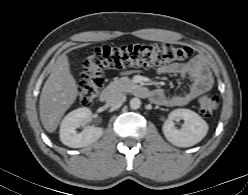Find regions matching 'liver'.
Instances as JSON below:
<instances>
[{
	"label": "liver",
	"instance_id": "6515ba94",
	"mask_svg": "<svg viewBox=\"0 0 248 195\" xmlns=\"http://www.w3.org/2000/svg\"><path fill=\"white\" fill-rule=\"evenodd\" d=\"M78 93V85L70 72L68 58L61 54L52 65L39 101L40 119L47 132L53 133L57 129Z\"/></svg>",
	"mask_w": 248,
	"mask_h": 195
}]
</instances>
